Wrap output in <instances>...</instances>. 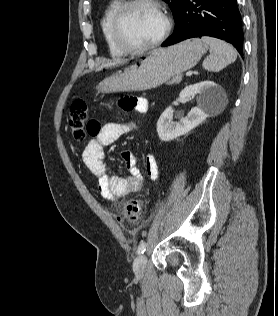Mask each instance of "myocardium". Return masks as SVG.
Listing matches in <instances>:
<instances>
[{"mask_svg": "<svg viewBox=\"0 0 278 316\" xmlns=\"http://www.w3.org/2000/svg\"><path fill=\"white\" fill-rule=\"evenodd\" d=\"M148 4L155 8L163 20V29L160 35L151 43L135 47L127 43L123 36L122 24L126 14L135 6ZM172 30V20L165 7L157 0H128L124 2L117 10L112 21V32L117 45L126 53L142 54L159 46L170 34Z\"/></svg>", "mask_w": 278, "mask_h": 316, "instance_id": "obj_1", "label": "myocardium"}]
</instances>
